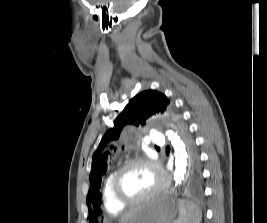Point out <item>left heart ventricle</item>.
<instances>
[{
  "mask_svg": "<svg viewBox=\"0 0 267 223\" xmlns=\"http://www.w3.org/2000/svg\"><path fill=\"white\" fill-rule=\"evenodd\" d=\"M157 184V176L147 165L128 168L120 178L119 192L126 199H138L149 193Z\"/></svg>",
  "mask_w": 267,
  "mask_h": 223,
  "instance_id": "left-heart-ventricle-1",
  "label": "left heart ventricle"
}]
</instances>
